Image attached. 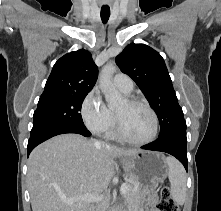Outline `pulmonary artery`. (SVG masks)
<instances>
[{
	"instance_id": "1",
	"label": "pulmonary artery",
	"mask_w": 221,
	"mask_h": 211,
	"mask_svg": "<svg viewBox=\"0 0 221 211\" xmlns=\"http://www.w3.org/2000/svg\"><path fill=\"white\" fill-rule=\"evenodd\" d=\"M114 85L124 93H130L133 90L132 79L123 73H118L113 79Z\"/></svg>"
}]
</instances>
